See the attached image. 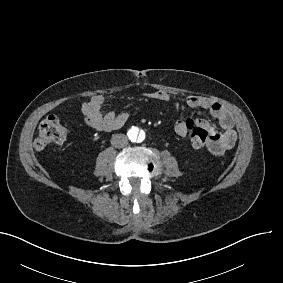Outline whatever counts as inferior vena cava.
Segmentation results:
<instances>
[{
	"mask_svg": "<svg viewBox=\"0 0 283 283\" xmlns=\"http://www.w3.org/2000/svg\"><path fill=\"white\" fill-rule=\"evenodd\" d=\"M128 144V138L124 134H115L111 138V145L115 148H124Z\"/></svg>",
	"mask_w": 283,
	"mask_h": 283,
	"instance_id": "1",
	"label": "inferior vena cava"
}]
</instances>
